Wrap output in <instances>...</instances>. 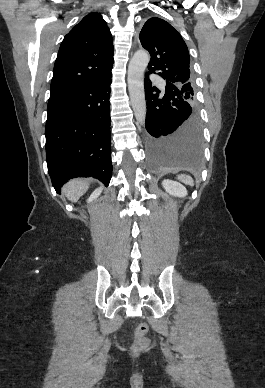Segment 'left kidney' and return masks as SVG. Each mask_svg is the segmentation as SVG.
<instances>
[{"mask_svg":"<svg viewBox=\"0 0 265 388\" xmlns=\"http://www.w3.org/2000/svg\"><path fill=\"white\" fill-rule=\"evenodd\" d=\"M162 186L170 196H176V198H185L187 196V190L178 184V182H172V180H163Z\"/></svg>","mask_w":265,"mask_h":388,"instance_id":"1","label":"left kidney"}]
</instances>
